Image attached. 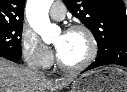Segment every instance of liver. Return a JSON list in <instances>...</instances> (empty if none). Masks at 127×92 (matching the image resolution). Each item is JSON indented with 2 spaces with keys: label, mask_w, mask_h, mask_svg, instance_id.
I'll use <instances>...</instances> for the list:
<instances>
[{
  "label": "liver",
  "mask_w": 127,
  "mask_h": 92,
  "mask_svg": "<svg viewBox=\"0 0 127 92\" xmlns=\"http://www.w3.org/2000/svg\"><path fill=\"white\" fill-rule=\"evenodd\" d=\"M73 77L48 79L0 57V92H60Z\"/></svg>",
  "instance_id": "1"
}]
</instances>
